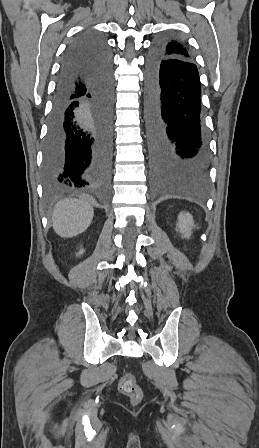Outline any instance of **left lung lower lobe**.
<instances>
[{
	"label": "left lung lower lobe",
	"mask_w": 259,
	"mask_h": 448,
	"mask_svg": "<svg viewBox=\"0 0 259 448\" xmlns=\"http://www.w3.org/2000/svg\"><path fill=\"white\" fill-rule=\"evenodd\" d=\"M155 40L147 59L148 145L154 186L163 191H198L208 180L210 153L194 62L164 59Z\"/></svg>",
	"instance_id": "1"
}]
</instances>
